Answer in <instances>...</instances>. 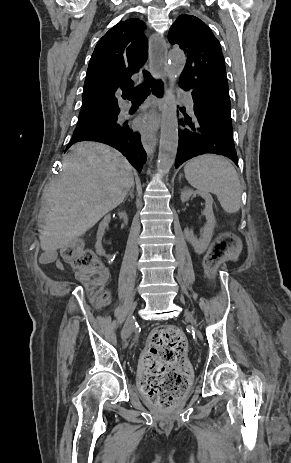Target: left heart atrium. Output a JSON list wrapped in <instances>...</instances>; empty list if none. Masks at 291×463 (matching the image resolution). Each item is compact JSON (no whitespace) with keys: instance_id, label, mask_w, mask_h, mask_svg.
Instances as JSON below:
<instances>
[{"instance_id":"obj_1","label":"left heart atrium","mask_w":291,"mask_h":463,"mask_svg":"<svg viewBox=\"0 0 291 463\" xmlns=\"http://www.w3.org/2000/svg\"><path fill=\"white\" fill-rule=\"evenodd\" d=\"M159 120L155 115H147L137 119L136 128L144 133L155 130L158 126Z\"/></svg>"}]
</instances>
